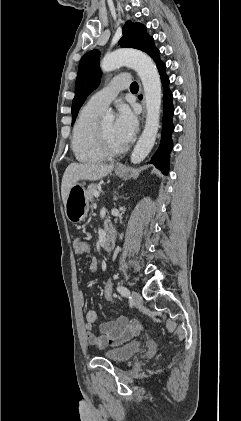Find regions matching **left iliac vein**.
Wrapping results in <instances>:
<instances>
[{
    "mask_svg": "<svg viewBox=\"0 0 241 421\" xmlns=\"http://www.w3.org/2000/svg\"><path fill=\"white\" fill-rule=\"evenodd\" d=\"M130 301L135 306H139L143 302L142 296L138 292H136V291H132L131 296H130Z\"/></svg>",
    "mask_w": 241,
    "mask_h": 421,
    "instance_id": "1",
    "label": "left iliac vein"
}]
</instances>
